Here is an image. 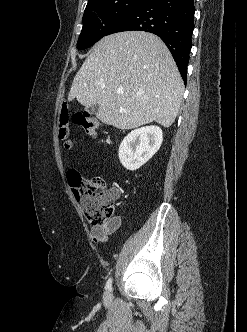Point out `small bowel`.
Instances as JSON below:
<instances>
[{
  "instance_id": "small-bowel-1",
  "label": "small bowel",
  "mask_w": 247,
  "mask_h": 332,
  "mask_svg": "<svg viewBox=\"0 0 247 332\" xmlns=\"http://www.w3.org/2000/svg\"><path fill=\"white\" fill-rule=\"evenodd\" d=\"M113 192L116 198L120 196V191L118 189H113ZM120 225V217H114L103 225H94L91 228V237L95 242H105L110 235L119 229Z\"/></svg>"
}]
</instances>
